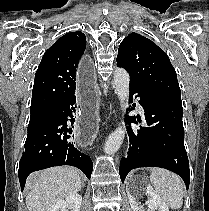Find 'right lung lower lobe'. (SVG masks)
<instances>
[{
	"label": "right lung lower lobe",
	"mask_w": 209,
	"mask_h": 211,
	"mask_svg": "<svg viewBox=\"0 0 209 211\" xmlns=\"http://www.w3.org/2000/svg\"><path fill=\"white\" fill-rule=\"evenodd\" d=\"M75 95L56 103L46 116L28 132L25 151L19 163V182L24 189L28 175L34 171L58 165H71L82 170L88 179L93 163L91 158L79 151L73 141L68 124L75 122Z\"/></svg>",
	"instance_id": "1"
}]
</instances>
